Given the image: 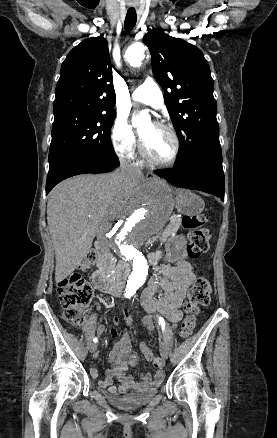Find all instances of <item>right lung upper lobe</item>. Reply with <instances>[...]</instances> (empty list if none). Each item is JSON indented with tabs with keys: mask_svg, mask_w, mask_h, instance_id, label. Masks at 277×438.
I'll list each match as a JSON object with an SVG mask.
<instances>
[{
	"mask_svg": "<svg viewBox=\"0 0 277 438\" xmlns=\"http://www.w3.org/2000/svg\"><path fill=\"white\" fill-rule=\"evenodd\" d=\"M55 94L54 117L116 114L106 39L102 36L85 39L69 52L61 66Z\"/></svg>",
	"mask_w": 277,
	"mask_h": 438,
	"instance_id": "right-lung-upper-lobe-1",
	"label": "right lung upper lobe"
}]
</instances>
